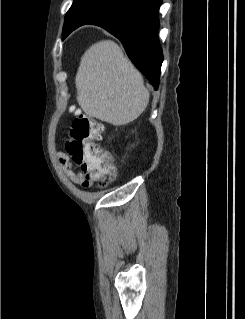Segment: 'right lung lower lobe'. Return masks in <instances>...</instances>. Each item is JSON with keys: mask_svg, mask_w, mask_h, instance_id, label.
Returning <instances> with one entry per match:
<instances>
[{"mask_svg": "<svg viewBox=\"0 0 245 319\" xmlns=\"http://www.w3.org/2000/svg\"><path fill=\"white\" fill-rule=\"evenodd\" d=\"M162 0H129L87 24L105 28L123 44L128 57L158 89L162 49L158 40V11Z\"/></svg>", "mask_w": 245, "mask_h": 319, "instance_id": "98d812e1", "label": "right lung lower lobe"}]
</instances>
